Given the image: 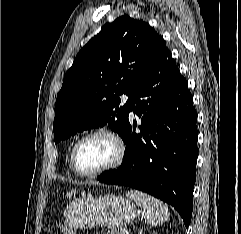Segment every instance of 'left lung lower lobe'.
Segmentation results:
<instances>
[{"mask_svg":"<svg viewBox=\"0 0 241 234\" xmlns=\"http://www.w3.org/2000/svg\"><path fill=\"white\" fill-rule=\"evenodd\" d=\"M125 156L98 181L125 185L172 205L188 227L196 180L197 114L186 79L166 47L139 83L130 103ZM139 124L140 133L135 132Z\"/></svg>","mask_w":241,"mask_h":234,"instance_id":"0a47b994","label":"left lung lower lobe"}]
</instances>
